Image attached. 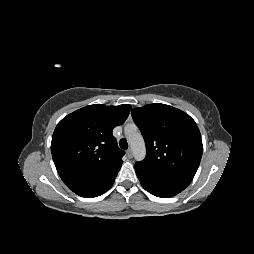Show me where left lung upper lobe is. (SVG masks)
<instances>
[{
	"label": "left lung upper lobe",
	"mask_w": 254,
	"mask_h": 254,
	"mask_svg": "<svg viewBox=\"0 0 254 254\" xmlns=\"http://www.w3.org/2000/svg\"><path fill=\"white\" fill-rule=\"evenodd\" d=\"M146 144V169L191 181L199 167L203 145L195 121L185 112L154 103L131 111Z\"/></svg>",
	"instance_id": "5c2ea615"
}]
</instances>
